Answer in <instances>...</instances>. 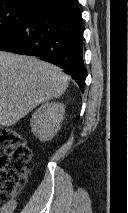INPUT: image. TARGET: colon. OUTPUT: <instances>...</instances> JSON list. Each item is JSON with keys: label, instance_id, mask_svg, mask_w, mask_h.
I'll use <instances>...</instances> for the list:
<instances>
[{"label": "colon", "instance_id": "obj_1", "mask_svg": "<svg viewBox=\"0 0 128 213\" xmlns=\"http://www.w3.org/2000/svg\"><path fill=\"white\" fill-rule=\"evenodd\" d=\"M4 154L0 157V204L13 200L30 175L33 156L21 134L9 128L0 129Z\"/></svg>", "mask_w": 128, "mask_h": 213}]
</instances>
